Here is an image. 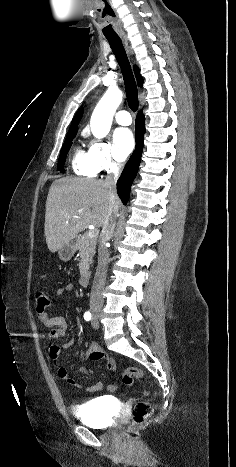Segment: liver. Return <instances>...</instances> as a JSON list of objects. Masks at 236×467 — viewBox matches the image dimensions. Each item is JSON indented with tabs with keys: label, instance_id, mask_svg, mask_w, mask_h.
<instances>
[{
	"label": "liver",
	"instance_id": "liver-1",
	"mask_svg": "<svg viewBox=\"0 0 236 467\" xmlns=\"http://www.w3.org/2000/svg\"><path fill=\"white\" fill-rule=\"evenodd\" d=\"M111 200L118 209L120 200L112 197L103 180L88 178H61L55 180L47 196L45 228L50 252L74 239L93 225L101 227L109 211Z\"/></svg>",
	"mask_w": 236,
	"mask_h": 467
}]
</instances>
